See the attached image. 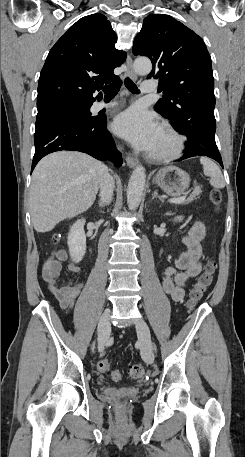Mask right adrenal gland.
I'll use <instances>...</instances> for the list:
<instances>
[{
    "mask_svg": "<svg viewBox=\"0 0 245 457\" xmlns=\"http://www.w3.org/2000/svg\"><path fill=\"white\" fill-rule=\"evenodd\" d=\"M99 206H104V204H102V202H99Z\"/></svg>",
    "mask_w": 245,
    "mask_h": 457,
    "instance_id": "1",
    "label": "right adrenal gland"
}]
</instances>
